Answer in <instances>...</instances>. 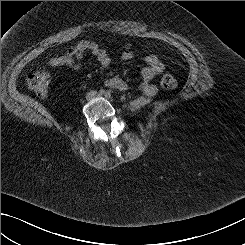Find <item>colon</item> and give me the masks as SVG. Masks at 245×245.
<instances>
[{"instance_id":"1","label":"colon","mask_w":245,"mask_h":245,"mask_svg":"<svg viewBox=\"0 0 245 245\" xmlns=\"http://www.w3.org/2000/svg\"><path fill=\"white\" fill-rule=\"evenodd\" d=\"M127 49L131 48V45L126 46ZM52 81V75L47 69L38 70L27 77L26 83L28 88L33 91L40 98H47L50 94V86ZM162 88L172 90L177 86L176 78L171 74H166L160 81Z\"/></svg>"}]
</instances>
